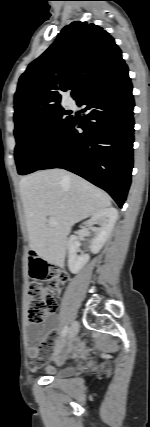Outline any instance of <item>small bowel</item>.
Masks as SVG:
<instances>
[{
	"label": "small bowel",
	"instance_id": "small-bowel-1",
	"mask_svg": "<svg viewBox=\"0 0 150 427\" xmlns=\"http://www.w3.org/2000/svg\"><path fill=\"white\" fill-rule=\"evenodd\" d=\"M56 320L50 316L43 324L34 326L30 330V337L34 341H39V344L31 345L28 348V356L32 359L30 368L36 370L40 368L47 360V357L53 348L56 340L54 332ZM78 342L74 341L72 347H77Z\"/></svg>",
	"mask_w": 150,
	"mask_h": 427
}]
</instances>
